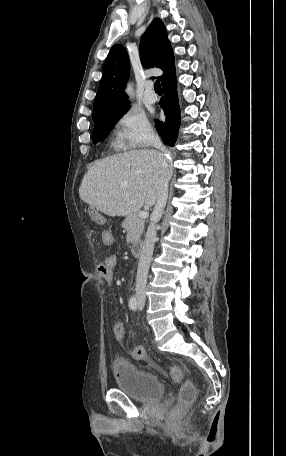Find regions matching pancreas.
<instances>
[{
  "label": "pancreas",
  "instance_id": "pancreas-1",
  "mask_svg": "<svg viewBox=\"0 0 286 456\" xmlns=\"http://www.w3.org/2000/svg\"><path fill=\"white\" fill-rule=\"evenodd\" d=\"M122 227L127 231V244L137 243L144 231V220L139 218L138 214H130L122 222Z\"/></svg>",
  "mask_w": 286,
  "mask_h": 456
}]
</instances>
